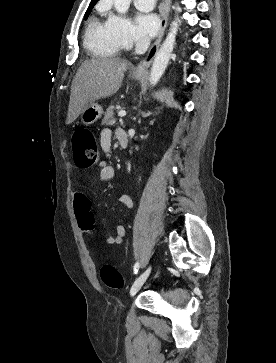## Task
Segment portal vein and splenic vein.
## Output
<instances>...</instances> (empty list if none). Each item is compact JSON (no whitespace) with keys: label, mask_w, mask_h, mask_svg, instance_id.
<instances>
[{"label":"portal vein and splenic vein","mask_w":276,"mask_h":363,"mask_svg":"<svg viewBox=\"0 0 276 363\" xmlns=\"http://www.w3.org/2000/svg\"><path fill=\"white\" fill-rule=\"evenodd\" d=\"M126 115V111L125 110H120L119 112H118V116L119 117H124Z\"/></svg>","instance_id":"portal-vein-and-splenic-vein-1"}]
</instances>
